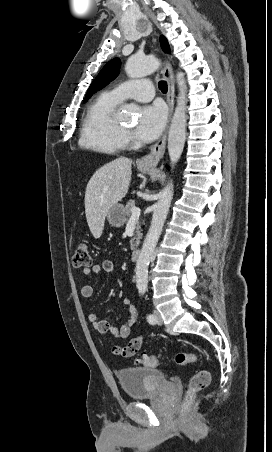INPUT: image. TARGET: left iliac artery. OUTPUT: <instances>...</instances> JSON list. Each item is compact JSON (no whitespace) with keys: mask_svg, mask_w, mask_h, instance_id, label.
Returning a JSON list of instances; mask_svg holds the SVG:
<instances>
[{"mask_svg":"<svg viewBox=\"0 0 272 452\" xmlns=\"http://www.w3.org/2000/svg\"><path fill=\"white\" fill-rule=\"evenodd\" d=\"M147 321H148L150 324H155V323H156V318H155V316H154L153 314H148V315H147Z\"/></svg>","mask_w":272,"mask_h":452,"instance_id":"44dca946","label":"left iliac artery"}]
</instances>
